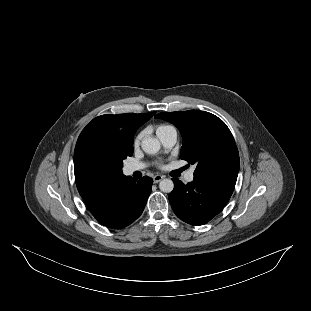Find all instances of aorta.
I'll use <instances>...</instances> for the list:
<instances>
[{"label":"aorta","instance_id":"aorta-1","mask_svg":"<svg viewBox=\"0 0 311 311\" xmlns=\"http://www.w3.org/2000/svg\"><path fill=\"white\" fill-rule=\"evenodd\" d=\"M141 148L147 154H155L160 149V143L154 137H147L141 142ZM159 188L162 192L170 193L174 188V183L170 179H163L159 184Z\"/></svg>","mask_w":311,"mask_h":311}]
</instances>
